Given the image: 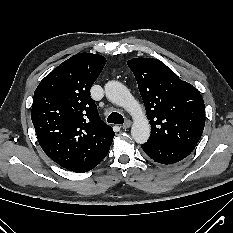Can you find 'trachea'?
<instances>
[{
    "label": "trachea",
    "instance_id": "trachea-1",
    "mask_svg": "<svg viewBox=\"0 0 233 233\" xmlns=\"http://www.w3.org/2000/svg\"><path fill=\"white\" fill-rule=\"evenodd\" d=\"M108 123H113V124H123L124 123V118L121 114L118 112H112L108 118H107Z\"/></svg>",
    "mask_w": 233,
    "mask_h": 233
}]
</instances>
